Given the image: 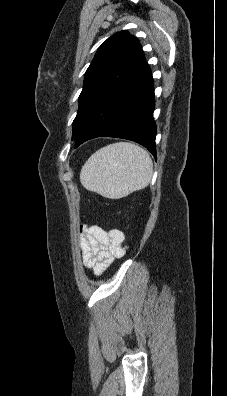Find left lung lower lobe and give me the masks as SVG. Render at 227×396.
<instances>
[{
	"label": "left lung lower lobe",
	"instance_id": "1",
	"mask_svg": "<svg viewBox=\"0 0 227 396\" xmlns=\"http://www.w3.org/2000/svg\"><path fill=\"white\" fill-rule=\"evenodd\" d=\"M154 107L153 78L144 61L95 107L75 148L93 138L116 137L137 142L156 157Z\"/></svg>",
	"mask_w": 227,
	"mask_h": 396
}]
</instances>
